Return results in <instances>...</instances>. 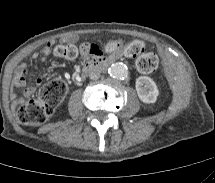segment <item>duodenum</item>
Segmentation results:
<instances>
[{
	"mask_svg": "<svg viewBox=\"0 0 215 183\" xmlns=\"http://www.w3.org/2000/svg\"><path fill=\"white\" fill-rule=\"evenodd\" d=\"M112 62V59H94L84 65L81 71V77L92 71L101 69L108 66Z\"/></svg>",
	"mask_w": 215,
	"mask_h": 183,
	"instance_id": "1",
	"label": "duodenum"
}]
</instances>
